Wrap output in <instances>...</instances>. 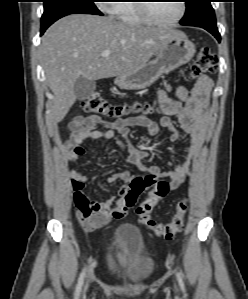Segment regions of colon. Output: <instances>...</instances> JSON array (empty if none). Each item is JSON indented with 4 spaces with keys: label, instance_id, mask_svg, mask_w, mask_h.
I'll return each mask as SVG.
<instances>
[{
    "label": "colon",
    "instance_id": "5ec220e1",
    "mask_svg": "<svg viewBox=\"0 0 248 299\" xmlns=\"http://www.w3.org/2000/svg\"><path fill=\"white\" fill-rule=\"evenodd\" d=\"M218 67L216 55L209 49L202 48L198 51L197 57L191 68V78L213 74ZM83 110L93 115H103L108 117L122 118L131 113H151L154 108L149 104H111L99 93H91L83 103ZM147 188H153L151 195L146 198L136 210L139 220L147 228L156 234L167 239H172L176 234L184 229L185 217L188 211L187 200H181L176 206V212L168 223H158L151 218V212L157 204L163 200L171 190L170 183L166 180L158 179L153 173L145 176H135L127 185V189L122 194L123 203L127 208L133 207L138 196ZM85 192L76 190L74 192V211L76 215L82 217L91 216L95 210L90 205V199Z\"/></svg>",
    "mask_w": 248,
    "mask_h": 299
}]
</instances>
